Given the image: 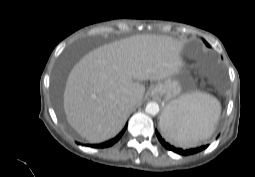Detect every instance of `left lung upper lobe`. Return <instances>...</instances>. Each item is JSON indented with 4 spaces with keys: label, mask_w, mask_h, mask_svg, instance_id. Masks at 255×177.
Masks as SVG:
<instances>
[{
    "label": "left lung upper lobe",
    "mask_w": 255,
    "mask_h": 177,
    "mask_svg": "<svg viewBox=\"0 0 255 177\" xmlns=\"http://www.w3.org/2000/svg\"><path fill=\"white\" fill-rule=\"evenodd\" d=\"M205 42V44L208 46V47H210V45L206 42V41H204Z\"/></svg>",
    "instance_id": "left-lung-upper-lobe-1"
}]
</instances>
